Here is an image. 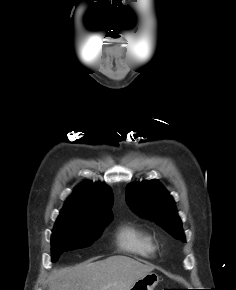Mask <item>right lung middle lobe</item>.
I'll use <instances>...</instances> for the list:
<instances>
[{"label": "right lung middle lobe", "instance_id": "dd1d6c3e", "mask_svg": "<svg viewBox=\"0 0 236 290\" xmlns=\"http://www.w3.org/2000/svg\"><path fill=\"white\" fill-rule=\"evenodd\" d=\"M111 217L106 215L80 220L59 217L51 238L52 262L64 251L90 246Z\"/></svg>", "mask_w": 236, "mask_h": 290}]
</instances>
